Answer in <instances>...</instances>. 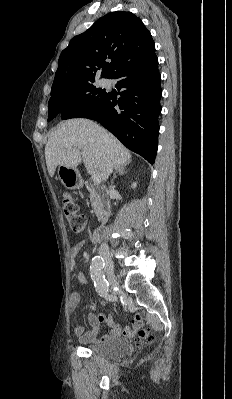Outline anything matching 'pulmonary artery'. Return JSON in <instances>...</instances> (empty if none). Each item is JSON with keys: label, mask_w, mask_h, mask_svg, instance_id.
<instances>
[{"label": "pulmonary artery", "mask_w": 232, "mask_h": 399, "mask_svg": "<svg viewBox=\"0 0 232 399\" xmlns=\"http://www.w3.org/2000/svg\"><path fill=\"white\" fill-rule=\"evenodd\" d=\"M100 85L107 86V85H109V81L108 80H101L100 81Z\"/></svg>", "instance_id": "pulmonary-artery-1"}]
</instances>
